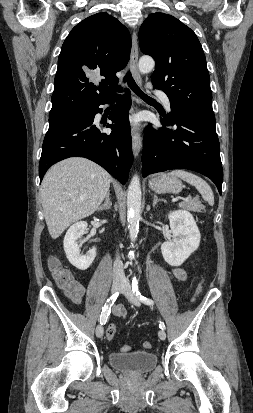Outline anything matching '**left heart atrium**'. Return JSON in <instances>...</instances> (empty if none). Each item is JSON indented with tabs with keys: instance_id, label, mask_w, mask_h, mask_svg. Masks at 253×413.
I'll use <instances>...</instances> for the list:
<instances>
[{
	"instance_id": "39dd6f15",
	"label": "left heart atrium",
	"mask_w": 253,
	"mask_h": 413,
	"mask_svg": "<svg viewBox=\"0 0 253 413\" xmlns=\"http://www.w3.org/2000/svg\"><path fill=\"white\" fill-rule=\"evenodd\" d=\"M131 122L135 125L137 123V119L136 118H131Z\"/></svg>"
}]
</instances>
